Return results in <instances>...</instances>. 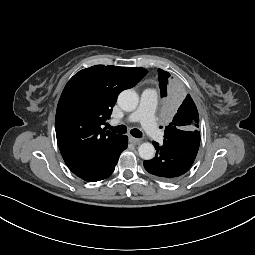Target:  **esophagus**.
<instances>
[{
	"mask_svg": "<svg viewBox=\"0 0 255 255\" xmlns=\"http://www.w3.org/2000/svg\"><path fill=\"white\" fill-rule=\"evenodd\" d=\"M129 141L132 143V144H135V145H137V144H140L141 143V140L140 139H138V138H135V137H129Z\"/></svg>",
	"mask_w": 255,
	"mask_h": 255,
	"instance_id": "obj_1",
	"label": "esophagus"
}]
</instances>
